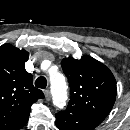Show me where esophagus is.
I'll return each instance as SVG.
<instances>
[{
    "instance_id": "1",
    "label": "esophagus",
    "mask_w": 130,
    "mask_h": 130,
    "mask_svg": "<svg viewBox=\"0 0 130 130\" xmlns=\"http://www.w3.org/2000/svg\"><path fill=\"white\" fill-rule=\"evenodd\" d=\"M44 94H45V98L46 100H50L51 99V93L49 89L44 90Z\"/></svg>"
}]
</instances>
